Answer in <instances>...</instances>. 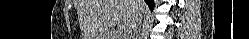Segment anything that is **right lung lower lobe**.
<instances>
[{
  "mask_svg": "<svg viewBox=\"0 0 249 39\" xmlns=\"http://www.w3.org/2000/svg\"><path fill=\"white\" fill-rule=\"evenodd\" d=\"M149 6V8L153 9L154 8V0H145Z\"/></svg>",
  "mask_w": 249,
  "mask_h": 39,
  "instance_id": "1",
  "label": "right lung lower lobe"
}]
</instances>
